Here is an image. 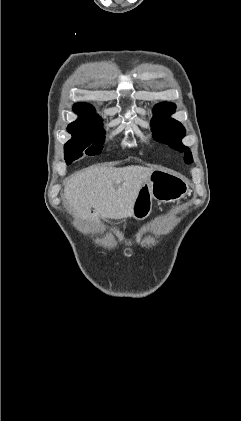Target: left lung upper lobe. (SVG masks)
<instances>
[{
	"label": "left lung upper lobe",
	"instance_id": "obj_1",
	"mask_svg": "<svg viewBox=\"0 0 241 421\" xmlns=\"http://www.w3.org/2000/svg\"><path fill=\"white\" fill-rule=\"evenodd\" d=\"M175 105L172 103H161L154 109V117L151 121L153 137L155 140L166 143L172 148L181 152L185 151L184 161L187 164L192 163L190 150L181 143L186 131L180 122L170 118L175 112Z\"/></svg>",
	"mask_w": 241,
	"mask_h": 421
}]
</instances>
